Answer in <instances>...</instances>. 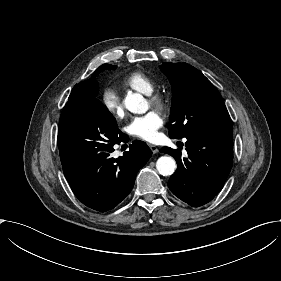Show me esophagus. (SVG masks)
Segmentation results:
<instances>
[{"label":"esophagus","mask_w":281,"mask_h":281,"mask_svg":"<svg viewBox=\"0 0 281 281\" xmlns=\"http://www.w3.org/2000/svg\"><path fill=\"white\" fill-rule=\"evenodd\" d=\"M148 146L150 147L151 151L156 154L159 152V149L157 148V146L153 145V144H148Z\"/></svg>","instance_id":"obj_1"}]
</instances>
